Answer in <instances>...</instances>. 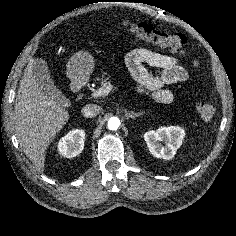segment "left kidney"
Masks as SVG:
<instances>
[{"label": "left kidney", "mask_w": 236, "mask_h": 236, "mask_svg": "<svg viewBox=\"0 0 236 236\" xmlns=\"http://www.w3.org/2000/svg\"><path fill=\"white\" fill-rule=\"evenodd\" d=\"M185 130L179 126L160 127L156 131L144 134V140L150 153L165 160H170L182 145ZM164 143V145L162 143Z\"/></svg>", "instance_id": "left-kidney-1"}]
</instances>
